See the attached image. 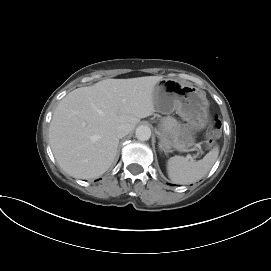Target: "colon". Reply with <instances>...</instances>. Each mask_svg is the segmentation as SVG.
I'll use <instances>...</instances> for the list:
<instances>
[{
	"label": "colon",
	"mask_w": 271,
	"mask_h": 271,
	"mask_svg": "<svg viewBox=\"0 0 271 271\" xmlns=\"http://www.w3.org/2000/svg\"><path fill=\"white\" fill-rule=\"evenodd\" d=\"M219 133V122L216 118L212 120V128L206 135V145L208 147L212 146L215 143L216 138Z\"/></svg>",
	"instance_id": "1"
}]
</instances>
